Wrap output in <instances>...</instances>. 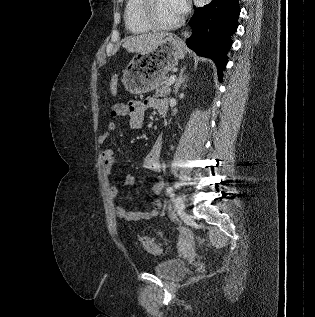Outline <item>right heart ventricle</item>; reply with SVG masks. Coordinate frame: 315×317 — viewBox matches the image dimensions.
Masks as SVG:
<instances>
[{"label": "right heart ventricle", "instance_id": "1", "mask_svg": "<svg viewBox=\"0 0 315 317\" xmlns=\"http://www.w3.org/2000/svg\"><path fill=\"white\" fill-rule=\"evenodd\" d=\"M143 0H127L124 10L126 29L134 34L148 32L151 28L146 25L140 15Z\"/></svg>", "mask_w": 315, "mask_h": 317}]
</instances>
